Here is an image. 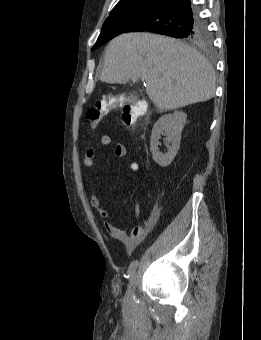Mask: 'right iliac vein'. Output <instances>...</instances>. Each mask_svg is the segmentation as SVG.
<instances>
[{"label":"right iliac vein","instance_id":"1","mask_svg":"<svg viewBox=\"0 0 261 340\" xmlns=\"http://www.w3.org/2000/svg\"><path fill=\"white\" fill-rule=\"evenodd\" d=\"M136 283H137V278H136V274L134 273L131 277V280H130V283H129V286H128V289H127V292H126V295H125V300H129L132 295H133V292L135 290V287H136Z\"/></svg>","mask_w":261,"mask_h":340}]
</instances>
